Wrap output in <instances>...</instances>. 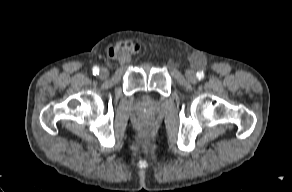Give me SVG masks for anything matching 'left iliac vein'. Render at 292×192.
<instances>
[{"label":"left iliac vein","instance_id":"4c4485c4","mask_svg":"<svg viewBox=\"0 0 292 192\" xmlns=\"http://www.w3.org/2000/svg\"><path fill=\"white\" fill-rule=\"evenodd\" d=\"M185 75L189 82L195 83L197 81L196 74L193 70H187Z\"/></svg>","mask_w":292,"mask_h":192}]
</instances>
